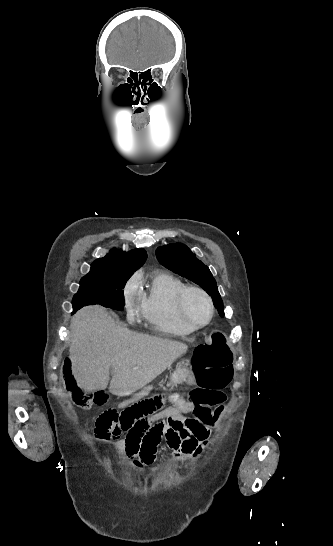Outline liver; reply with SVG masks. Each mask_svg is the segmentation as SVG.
<instances>
[{
    "label": "liver",
    "mask_w": 333,
    "mask_h": 546,
    "mask_svg": "<svg viewBox=\"0 0 333 546\" xmlns=\"http://www.w3.org/2000/svg\"><path fill=\"white\" fill-rule=\"evenodd\" d=\"M69 359L79 388L129 396L145 387L181 355L186 344L143 335L117 325L105 308L80 309L71 320Z\"/></svg>",
    "instance_id": "6515ba94"
}]
</instances>
